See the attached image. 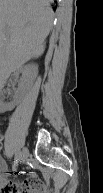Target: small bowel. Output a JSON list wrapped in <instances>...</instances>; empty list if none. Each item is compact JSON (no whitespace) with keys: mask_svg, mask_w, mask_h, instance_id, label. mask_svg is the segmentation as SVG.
Listing matches in <instances>:
<instances>
[{"mask_svg":"<svg viewBox=\"0 0 103 193\" xmlns=\"http://www.w3.org/2000/svg\"><path fill=\"white\" fill-rule=\"evenodd\" d=\"M0 183L2 193H20L18 188L25 187L26 193H50L48 187L43 184L35 174H29L22 184H15L8 179V167L6 163L0 164Z\"/></svg>","mask_w":103,"mask_h":193,"instance_id":"obj_1","label":"small bowel"}]
</instances>
